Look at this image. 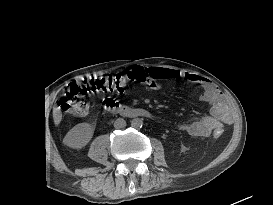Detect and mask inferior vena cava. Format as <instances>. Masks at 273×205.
<instances>
[{
	"mask_svg": "<svg viewBox=\"0 0 273 205\" xmlns=\"http://www.w3.org/2000/svg\"><path fill=\"white\" fill-rule=\"evenodd\" d=\"M126 126V121L122 118H118L114 122V127L117 129L124 128Z\"/></svg>",
	"mask_w": 273,
	"mask_h": 205,
	"instance_id": "602c4592",
	"label": "inferior vena cava"
}]
</instances>
